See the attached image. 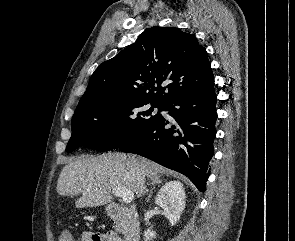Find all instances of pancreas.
<instances>
[{"label": "pancreas", "instance_id": "1", "mask_svg": "<svg viewBox=\"0 0 295 241\" xmlns=\"http://www.w3.org/2000/svg\"><path fill=\"white\" fill-rule=\"evenodd\" d=\"M114 228L117 232L124 233L125 232V222L123 220L117 221L114 225Z\"/></svg>", "mask_w": 295, "mask_h": 241}]
</instances>
